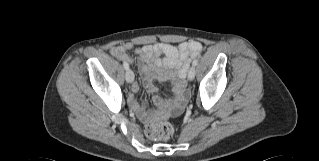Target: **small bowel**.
Segmentation results:
<instances>
[{"instance_id": "obj_1", "label": "small bowel", "mask_w": 319, "mask_h": 161, "mask_svg": "<svg viewBox=\"0 0 319 161\" xmlns=\"http://www.w3.org/2000/svg\"><path fill=\"white\" fill-rule=\"evenodd\" d=\"M133 47L132 43L126 42L111 48L110 53L123 62L133 63L134 59L127 54V51ZM202 50L203 45L198 41L182 42L179 45L154 43L137 48L138 68L143 76L147 93L152 94L156 91L155 80L171 79L174 83V95L167 105L175 114L179 113L189 96L185 80L189 62L198 57ZM162 55L164 58H161ZM131 89L137 93L140 87L134 82ZM128 102L140 120L147 121L155 117V112L139 105L133 96H129ZM163 104L164 101L161 98L153 99L155 107Z\"/></svg>"}]
</instances>
